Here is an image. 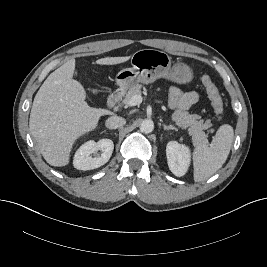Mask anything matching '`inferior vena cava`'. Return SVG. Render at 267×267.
<instances>
[{"label": "inferior vena cava", "mask_w": 267, "mask_h": 267, "mask_svg": "<svg viewBox=\"0 0 267 267\" xmlns=\"http://www.w3.org/2000/svg\"><path fill=\"white\" fill-rule=\"evenodd\" d=\"M125 124L126 120L116 115L109 117L105 122L106 127L109 129H117Z\"/></svg>", "instance_id": "1"}]
</instances>
